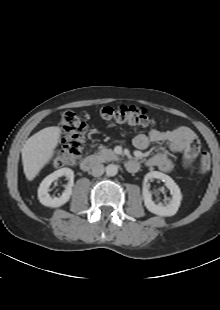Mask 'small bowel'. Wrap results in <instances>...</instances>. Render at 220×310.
<instances>
[{
    "label": "small bowel",
    "instance_id": "obj_1",
    "mask_svg": "<svg viewBox=\"0 0 220 310\" xmlns=\"http://www.w3.org/2000/svg\"><path fill=\"white\" fill-rule=\"evenodd\" d=\"M152 143H164L171 152L183 154V166L188 168L197 158L200 142L188 127H177L168 131L152 129L147 134L139 133L133 137V144L139 150L146 149ZM148 166L158 167L163 172H170L174 164L165 151H159L147 159Z\"/></svg>",
    "mask_w": 220,
    "mask_h": 310
}]
</instances>
